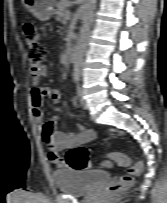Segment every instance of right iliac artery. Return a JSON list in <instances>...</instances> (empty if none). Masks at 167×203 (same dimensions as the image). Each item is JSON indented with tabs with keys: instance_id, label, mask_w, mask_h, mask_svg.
I'll return each mask as SVG.
<instances>
[{
	"instance_id": "right-iliac-artery-1",
	"label": "right iliac artery",
	"mask_w": 167,
	"mask_h": 203,
	"mask_svg": "<svg viewBox=\"0 0 167 203\" xmlns=\"http://www.w3.org/2000/svg\"><path fill=\"white\" fill-rule=\"evenodd\" d=\"M78 81V77H75V82H77Z\"/></svg>"
}]
</instances>
